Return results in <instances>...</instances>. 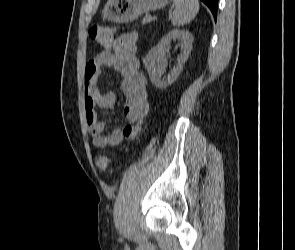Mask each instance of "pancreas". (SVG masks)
Instances as JSON below:
<instances>
[{
  "mask_svg": "<svg viewBox=\"0 0 295 250\" xmlns=\"http://www.w3.org/2000/svg\"><path fill=\"white\" fill-rule=\"evenodd\" d=\"M152 20L151 16L150 15H146L143 20H142V23L145 24V23H148Z\"/></svg>",
  "mask_w": 295,
  "mask_h": 250,
  "instance_id": "pancreas-1",
  "label": "pancreas"
}]
</instances>
